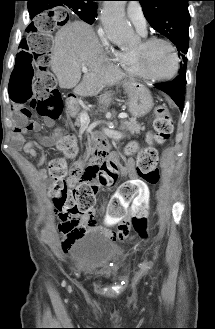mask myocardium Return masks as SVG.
Instances as JSON below:
<instances>
[{
  "label": "myocardium",
  "instance_id": "1",
  "mask_svg": "<svg viewBox=\"0 0 215 329\" xmlns=\"http://www.w3.org/2000/svg\"><path fill=\"white\" fill-rule=\"evenodd\" d=\"M157 43H163V44L167 45L171 49L172 54L175 59V67H174L173 71L169 75H166V76H154V75H151L150 73H148L145 69V60H146L147 52L154 44H157ZM134 62H135L136 69H137L138 73L140 74V76L147 78L149 80H152V81L170 80L177 75L179 68H180V58H179L177 48L170 40L162 38V37H149V38L143 39L139 43V45L136 47V49L134 50Z\"/></svg>",
  "mask_w": 215,
  "mask_h": 329
}]
</instances>
